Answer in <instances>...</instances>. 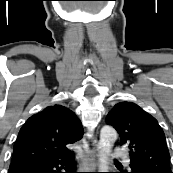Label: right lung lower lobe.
I'll use <instances>...</instances> for the list:
<instances>
[{
	"label": "right lung lower lobe",
	"mask_w": 173,
	"mask_h": 173,
	"mask_svg": "<svg viewBox=\"0 0 173 173\" xmlns=\"http://www.w3.org/2000/svg\"><path fill=\"white\" fill-rule=\"evenodd\" d=\"M74 159V153L72 152L66 157L55 160L11 167L8 173H62L61 169H64L65 173H78L76 172Z\"/></svg>",
	"instance_id": "1"
}]
</instances>
